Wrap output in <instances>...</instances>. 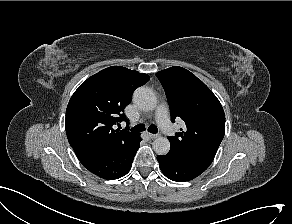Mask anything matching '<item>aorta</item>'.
Instances as JSON below:
<instances>
[{"instance_id":"762f6f07","label":"aorta","mask_w":292,"mask_h":224,"mask_svg":"<svg viewBox=\"0 0 292 224\" xmlns=\"http://www.w3.org/2000/svg\"><path fill=\"white\" fill-rule=\"evenodd\" d=\"M134 103L144 111H152L157 106L155 93L147 87H139L133 95ZM153 149L159 155H166L170 150V142L165 137H158L153 141Z\"/></svg>"}]
</instances>
